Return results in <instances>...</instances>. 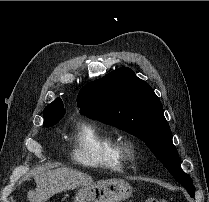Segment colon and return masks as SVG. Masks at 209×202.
<instances>
[{
    "mask_svg": "<svg viewBox=\"0 0 209 202\" xmlns=\"http://www.w3.org/2000/svg\"><path fill=\"white\" fill-rule=\"evenodd\" d=\"M144 202H168L164 198H147Z\"/></svg>",
    "mask_w": 209,
    "mask_h": 202,
    "instance_id": "5ec220e1",
    "label": "colon"
}]
</instances>
